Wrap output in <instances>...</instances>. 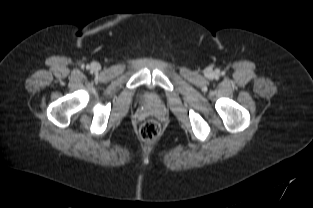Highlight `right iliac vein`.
<instances>
[{
	"label": "right iliac vein",
	"mask_w": 313,
	"mask_h": 208,
	"mask_svg": "<svg viewBox=\"0 0 313 208\" xmlns=\"http://www.w3.org/2000/svg\"><path fill=\"white\" fill-rule=\"evenodd\" d=\"M91 70L97 71L100 69V65L98 63H92L90 66Z\"/></svg>",
	"instance_id": "obj_1"
}]
</instances>
